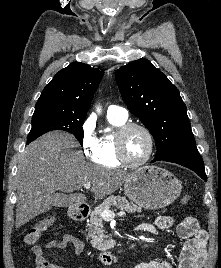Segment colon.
<instances>
[{"label": "colon", "mask_w": 221, "mask_h": 268, "mask_svg": "<svg viewBox=\"0 0 221 268\" xmlns=\"http://www.w3.org/2000/svg\"><path fill=\"white\" fill-rule=\"evenodd\" d=\"M191 200V196L185 195L181 198L183 205L188 204ZM55 224L54 217H47L37 222L25 235L24 241L28 245H35L42 237L43 233L52 228Z\"/></svg>", "instance_id": "obj_1"}]
</instances>
